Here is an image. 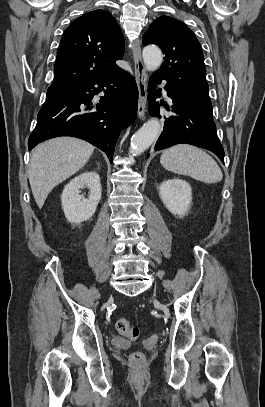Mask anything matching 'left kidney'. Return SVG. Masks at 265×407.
I'll use <instances>...</instances> for the list:
<instances>
[{"mask_svg":"<svg viewBox=\"0 0 265 407\" xmlns=\"http://www.w3.org/2000/svg\"><path fill=\"white\" fill-rule=\"evenodd\" d=\"M160 198L173 214L183 217L192 202V188L185 180L174 178L164 181L160 186Z\"/></svg>","mask_w":265,"mask_h":407,"instance_id":"1","label":"left kidney"}]
</instances>
